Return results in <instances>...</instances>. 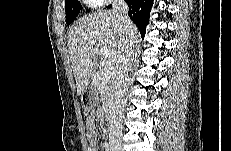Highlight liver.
Returning <instances> with one entry per match:
<instances>
[{
    "label": "liver",
    "instance_id": "6515ba94",
    "mask_svg": "<svg viewBox=\"0 0 231 151\" xmlns=\"http://www.w3.org/2000/svg\"><path fill=\"white\" fill-rule=\"evenodd\" d=\"M134 43L139 33L131 23ZM126 41L120 21L113 10H101L80 18L67 32V46L76 81L77 95H83L95 78L101 47L116 71Z\"/></svg>",
    "mask_w": 231,
    "mask_h": 151
}]
</instances>
